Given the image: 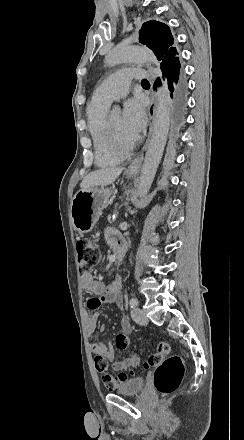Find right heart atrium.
I'll return each instance as SVG.
<instances>
[{
  "label": "right heart atrium",
  "mask_w": 244,
  "mask_h": 440,
  "mask_svg": "<svg viewBox=\"0 0 244 440\" xmlns=\"http://www.w3.org/2000/svg\"><path fill=\"white\" fill-rule=\"evenodd\" d=\"M129 139H134V135H131V136L129 137Z\"/></svg>",
  "instance_id": "obj_1"
}]
</instances>
